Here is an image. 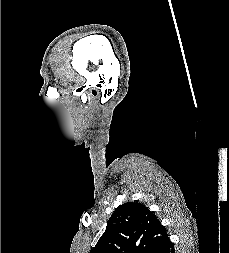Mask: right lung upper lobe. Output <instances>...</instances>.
Instances as JSON below:
<instances>
[{
	"label": "right lung upper lobe",
	"instance_id": "obj_1",
	"mask_svg": "<svg viewBox=\"0 0 229 253\" xmlns=\"http://www.w3.org/2000/svg\"><path fill=\"white\" fill-rule=\"evenodd\" d=\"M170 240L153 211L141 203L117 207L90 253H158Z\"/></svg>",
	"mask_w": 229,
	"mask_h": 253
}]
</instances>
